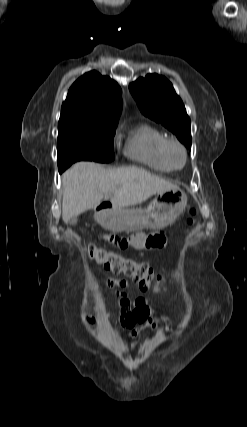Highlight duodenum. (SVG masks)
Instances as JSON below:
<instances>
[{"label": "duodenum", "instance_id": "410a0bca", "mask_svg": "<svg viewBox=\"0 0 247 427\" xmlns=\"http://www.w3.org/2000/svg\"><path fill=\"white\" fill-rule=\"evenodd\" d=\"M103 208L107 210V209H110V206L109 205H105V206H103Z\"/></svg>", "mask_w": 247, "mask_h": 427}]
</instances>
